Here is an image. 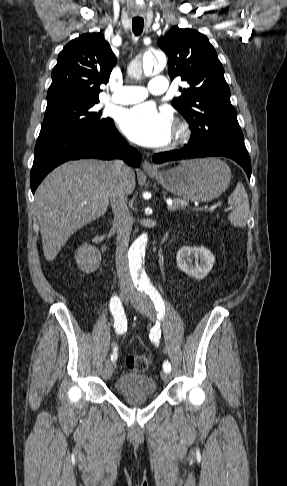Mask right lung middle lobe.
Returning <instances> with one entry per match:
<instances>
[{
	"label": "right lung middle lobe",
	"mask_w": 287,
	"mask_h": 486,
	"mask_svg": "<svg viewBox=\"0 0 287 486\" xmlns=\"http://www.w3.org/2000/svg\"><path fill=\"white\" fill-rule=\"evenodd\" d=\"M99 99L71 101L47 107L38 138L69 133H87L103 128L111 120L95 110Z\"/></svg>",
	"instance_id": "obj_1"
}]
</instances>
